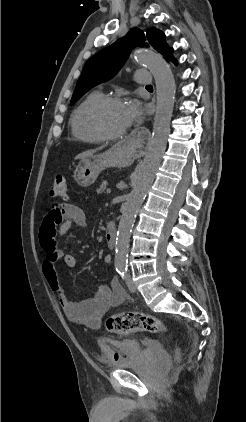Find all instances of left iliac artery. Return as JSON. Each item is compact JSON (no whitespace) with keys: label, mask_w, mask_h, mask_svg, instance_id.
Instances as JSON below:
<instances>
[{"label":"left iliac artery","mask_w":246,"mask_h":422,"mask_svg":"<svg viewBox=\"0 0 246 422\" xmlns=\"http://www.w3.org/2000/svg\"><path fill=\"white\" fill-rule=\"evenodd\" d=\"M119 274L121 275V277H122L123 279H125V278H126V271H125V270L120 271V272H119Z\"/></svg>","instance_id":"1"}]
</instances>
